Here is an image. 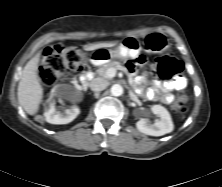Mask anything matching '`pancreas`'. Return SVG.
Segmentation results:
<instances>
[{
	"label": "pancreas",
	"instance_id": "1",
	"mask_svg": "<svg viewBox=\"0 0 222 187\" xmlns=\"http://www.w3.org/2000/svg\"><path fill=\"white\" fill-rule=\"evenodd\" d=\"M121 64L117 61H112V62H109L107 64H104L103 66H101L96 72L99 76L105 78V79H108L109 76L107 74L108 70L111 69V68H114V69H119L121 68Z\"/></svg>",
	"mask_w": 222,
	"mask_h": 187
}]
</instances>
